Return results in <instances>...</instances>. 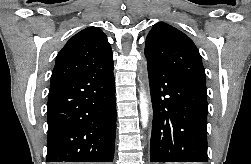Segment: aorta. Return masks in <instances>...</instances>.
I'll list each match as a JSON object with an SVG mask.
<instances>
[{
	"instance_id": "obj_1",
	"label": "aorta",
	"mask_w": 251,
	"mask_h": 164,
	"mask_svg": "<svg viewBox=\"0 0 251 164\" xmlns=\"http://www.w3.org/2000/svg\"><path fill=\"white\" fill-rule=\"evenodd\" d=\"M140 113H141L142 125L145 128L147 127L149 113H148V102L144 90L140 92Z\"/></svg>"
}]
</instances>
